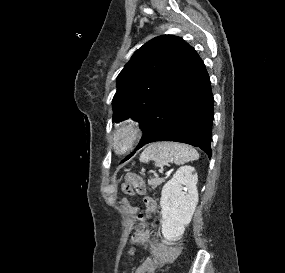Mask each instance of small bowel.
Listing matches in <instances>:
<instances>
[{
    "mask_svg": "<svg viewBox=\"0 0 285 273\" xmlns=\"http://www.w3.org/2000/svg\"><path fill=\"white\" fill-rule=\"evenodd\" d=\"M143 202L149 213H155L158 211V204L153 198L145 197ZM149 238L150 231L144 232L137 243L139 245H145L148 243ZM150 251L151 257L144 259L143 262L135 269L134 273H155L158 268L172 262L178 256L180 248L174 245L151 242Z\"/></svg>",
    "mask_w": 285,
    "mask_h": 273,
    "instance_id": "1",
    "label": "small bowel"
}]
</instances>
